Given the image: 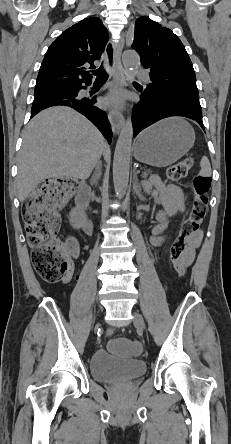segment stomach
<instances>
[{
	"label": "stomach",
	"mask_w": 231,
	"mask_h": 444,
	"mask_svg": "<svg viewBox=\"0 0 231 444\" xmlns=\"http://www.w3.org/2000/svg\"><path fill=\"white\" fill-rule=\"evenodd\" d=\"M195 142L191 125L180 117H170L144 130L134 145L135 158L155 167H166L184 156Z\"/></svg>",
	"instance_id": "obj_1"
}]
</instances>
